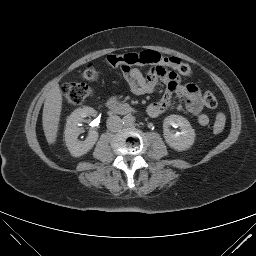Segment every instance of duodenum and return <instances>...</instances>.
<instances>
[{
  "mask_svg": "<svg viewBox=\"0 0 256 256\" xmlns=\"http://www.w3.org/2000/svg\"><path fill=\"white\" fill-rule=\"evenodd\" d=\"M107 107L111 112L118 114H128L133 112V108L131 106L115 99H110L107 102Z\"/></svg>",
  "mask_w": 256,
  "mask_h": 256,
  "instance_id": "410a0bca",
  "label": "duodenum"
}]
</instances>
